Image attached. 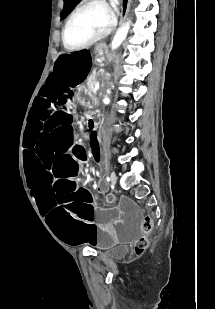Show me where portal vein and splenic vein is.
I'll use <instances>...</instances> for the list:
<instances>
[{
    "mask_svg": "<svg viewBox=\"0 0 215 309\" xmlns=\"http://www.w3.org/2000/svg\"><path fill=\"white\" fill-rule=\"evenodd\" d=\"M95 88H99V84H95Z\"/></svg>",
    "mask_w": 215,
    "mask_h": 309,
    "instance_id": "18ae733b",
    "label": "portal vein and splenic vein"
}]
</instances>
